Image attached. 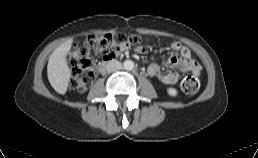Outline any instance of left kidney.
<instances>
[{
    "label": "left kidney",
    "mask_w": 258,
    "mask_h": 158,
    "mask_svg": "<svg viewBox=\"0 0 258 158\" xmlns=\"http://www.w3.org/2000/svg\"><path fill=\"white\" fill-rule=\"evenodd\" d=\"M167 93H168L170 96H172V97L177 96V90L174 89V88H168V89H167Z\"/></svg>",
    "instance_id": "obj_1"
}]
</instances>
